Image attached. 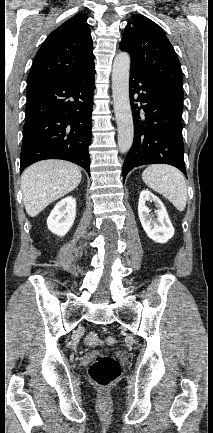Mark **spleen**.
<instances>
[{"label":"spleen","mask_w":213,"mask_h":433,"mask_svg":"<svg viewBox=\"0 0 213 433\" xmlns=\"http://www.w3.org/2000/svg\"><path fill=\"white\" fill-rule=\"evenodd\" d=\"M142 180L154 191L167 198L179 211L187 203V186L183 174L169 165H150L142 173Z\"/></svg>","instance_id":"spleen-1"}]
</instances>
